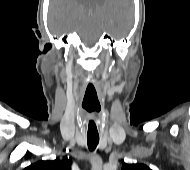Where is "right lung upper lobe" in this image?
Segmentation results:
<instances>
[{
  "label": "right lung upper lobe",
  "mask_w": 190,
  "mask_h": 170,
  "mask_svg": "<svg viewBox=\"0 0 190 170\" xmlns=\"http://www.w3.org/2000/svg\"><path fill=\"white\" fill-rule=\"evenodd\" d=\"M71 164V159L64 157L62 160L38 161L26 167L24 170H71Z\"/></svg>",
  "instance_id": "1"
}]
</instances>
